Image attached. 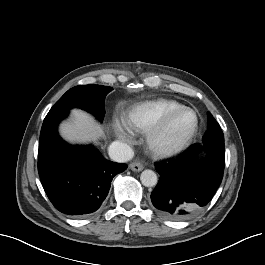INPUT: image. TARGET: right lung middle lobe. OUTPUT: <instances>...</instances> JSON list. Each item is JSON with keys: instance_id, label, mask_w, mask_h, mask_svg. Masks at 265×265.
<instances>
[{"instance_id": "1", "label": "right lung middle lobe", "mask_w": 265, "mask_h": 265, "mask_svg": "<svg viewBox=\"0 0 265 265\" xmlns=\"http://www.w3.org/2000/svg\"><path fill=\"white\" fill-rule=\"evenodd\" d=\"M111 90V87L101 85L73 87L55 103L49 112L69 111L77 107L92 113L102 121L105 115V97Z\"/></svg>"}]
</instances>
